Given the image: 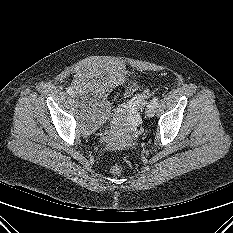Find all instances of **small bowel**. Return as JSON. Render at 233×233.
I'll return each instance as SVG.
<instances>
[{
    "label": "small bowel",
    "mask_w": 233,
    "mask_h": 233,
    "mask_svg": "<svg viewBox=\"0 0 233 233\" xmlns=\"http://www.w3.org/2000/svg\"><path fill=\"white\" fill-rule=\"evenodd\" d=\"M141 104V100L136 99L133 102L130 103V107H135V106H139Z\"/></svg>",
    "instance_id": "small-bowel-1"
}]
</instances>
